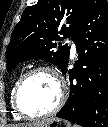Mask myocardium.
<instances>
[{"instance_id": "obj_1", "label": "myocardium", "mask_w": 108, "mask_h": 127, "mask_svg": "<svg viewBox=\"0 0 108 127\" xmlns=\"http://www.w3.org/2000/svg\"><path fill=\"white\" fill-rule=\"evenodd\" d=\"M37 73H47L51 75L57 81L58 86H59V98H58L56 105L48 112L39 114V115H32V114L25 112L23 108L21 107L20 94H21V90L24 84L26 83V81L31 76ZM67 96H68V88H67V84L64 78L54 69L50 67L40 66V67H36V68H33L27 71L23 76L20 77L15 87L14 94H13V106L21 117H24L26 119H40V118H45V117L56 114L65 104L67 100Z\"/></svg>"}]
</instances>
